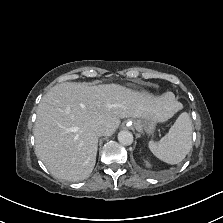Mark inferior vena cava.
Returning a JSON list of instances; mask_svg holds the SVG:
<instances>
[{"mask_svg": "<svg viewBox=\"0 0 223 223\" xmlns=\"http://www.w3.org/2000/svg\"><path fill=\"white\" fill-rule=\"evenodd\" d=\"M94 131L98 136H103L105 134V127L103 125H96Z\"/></svg>", "mask_w": 223, "mask_h": 223, "instance_id": "obj_1", "label": "inferior vena cava"}]
</instances>
